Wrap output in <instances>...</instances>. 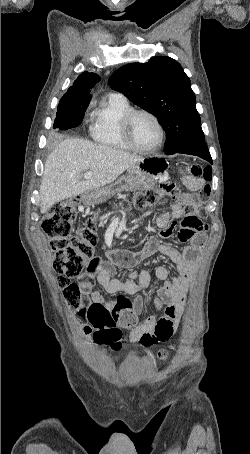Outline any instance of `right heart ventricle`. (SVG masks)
I'll return each mask as SVG.
<instances>
[{
    "instance_id": "1",
    "label": "right heart ventricle",
    "mask_w": 250,
    "mask_h": 454,
    "mask_svg": "<svg viewBox=\"0 0 250 454\" xmlns=\"http://www.w3.org/2000/svg\"><path fill=\"white\" fill-rule=\"evenodd\" d=\"M132 106L126 99L110 95L91 114L90 134L93 140L105 147L128 151L121 133V119Z\"/></svg>"
}]
</instances>
